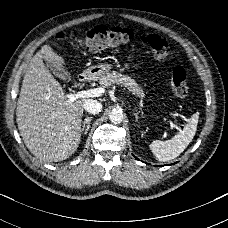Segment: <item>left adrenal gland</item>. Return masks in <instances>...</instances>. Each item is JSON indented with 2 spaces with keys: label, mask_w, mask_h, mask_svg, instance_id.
I'll list each match as a JSON object with an SVG mask.
<instances>
[{
  "label": "left adrenal gland",
  "mask_w": 228,
  "mask_h": 228,
  "mask_svg": "<svg viewBox=\"0 0 228 228\" xmlns=\"http://www.w3.org/2000/svg\"><path fill=\"white\" fill-rule=\"evenodd\" d=\"M135 119L138 120V115L137 114H135Z\"/></svg>",
  "instance_id": "left-adrenal-gland-1"
}]
</instances>
